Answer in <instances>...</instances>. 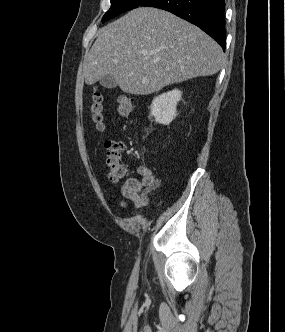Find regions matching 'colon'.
I'll return each mask as SVG.
<instances>
[{"label": "colon", "instance_id": "colon-1", "mask_svg": "<svg viewBox=\"0 0 285 332\" xmlns=\"http://www.w3.org/2000/svg\"><path fill=\"white\" fill-rule=\"evenodd\" d=\"M102 102V94L99 91L93 93L89 104V113L93 124L99 131L104 129ZM135 107L136 102L131 96L122 94L117 98V114L120 118L129 116L135 110ZM105 147L110 180L113 182L123 180L128 176L129 172L127 166L121 161V151L124 148L123 142L108 140L105 142Z\"/></svg>", "mask_w": 285, "mask_h": 332}]
</instances>
